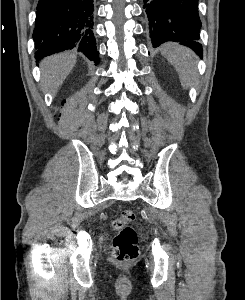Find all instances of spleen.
<instances>
[{
	"label": "spleen",
	"mask_w": 245,
	"mask_h": 300,
	"mask_svg": "<svg viewBox=\"0 0 245 300\" xmlns=\"http://www.w3.org/2000/svg\"><path fill=\"white\" fill-rule=\"evenodd\" d=\"M161 53L177 70L181 85L188 88L196 77L194 53L185 47L171 43L165 45Z\"/></svg>",
	"instance_id": "spleen-1"
}]
</instances>
